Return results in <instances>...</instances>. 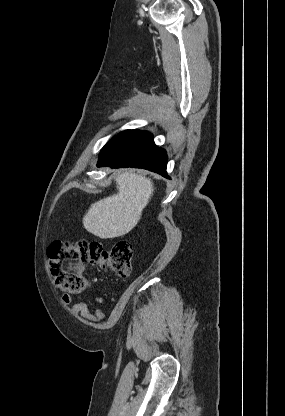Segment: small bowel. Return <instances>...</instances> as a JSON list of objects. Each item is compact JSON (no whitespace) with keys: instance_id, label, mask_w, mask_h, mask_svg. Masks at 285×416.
Wrapping results in <instances>:
<instances>
[{"instance_id":"1","label":"small bowel","mask_w":285,"mask_h":416,"mask_svg":"<svg viewBox=\"0 0 285 416\" xmlns=\"http://www.w3.org/2000/svg\"><path fill=\"white\" fill-rule=\"evenodd\" d=\"M93 301L99 306L94 312H91L84 302H77L71 305L70 311L75 316H81L88 322L98 323L105 318V313L100 307L104 304V299L100 296H93ZM62 302L66 305H70L72 302V296L69 293H65L62 297Z\"/></svg>"}]
</instances>
